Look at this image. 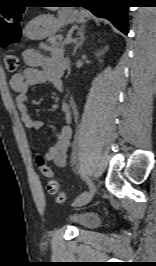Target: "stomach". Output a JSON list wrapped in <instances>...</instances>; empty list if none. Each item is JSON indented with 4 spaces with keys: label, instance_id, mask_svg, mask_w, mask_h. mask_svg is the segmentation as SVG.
Listing matches in <instances>:
<instances>
[{
    "label": "stomach",
    "instance_id": "obj_1",
    "mask_svg": "<svg viewBox=\"0 0 156 266\" xmlns=\"http://www.w3.org/2000/svg\"><path fill=\"white\" fill-rule=\"evenodd\" d=\"M85 13L74 8H61L57 17L40 15L31 21L24 33L33 40H43L56 34L61 27L70 23L85 22Z\"/></svg>",
    "mask_w": 156,
    "mask_h": 266
}]
</instances>
